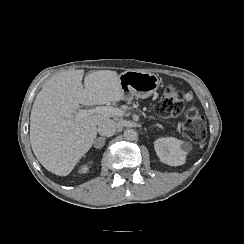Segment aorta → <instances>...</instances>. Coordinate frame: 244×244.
<instances>
[{
	"instance_id": "aorta-1",
	"label": "aorta",
	"mask_w": 244,
	"mask_h": 244,
	"mask_svg": "<svg viewBox=\"0 0 244 244\" xmlns=\"http://www.w3.org/2000/svg\"><path fill=\"white\" fill-rule=\"evenodd\" d=\"M123 135H124V138L126 140H128V141H133V140H135L137 138V133L133 129H126L124 131V134Z\"/></svg>"
}]
</instances>
